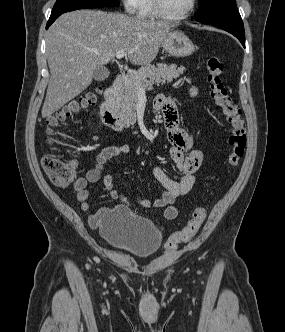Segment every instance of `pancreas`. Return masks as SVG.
Segmentation results:
<instances>
[{
	"label": "pancreas",
	"instance_id": "1",
	"mask_svg": "<svg viewBox=\"0 0 285 332\" xmlns=\"http://www.w3.org/2000/svg\"><path fill=\"white\" fill-rule=\"evenodd\" d=\"M185 71L184 67L175 64L167 65L158 63L141 67L135 73H129L124 78L122 92L117 105L121 117L126 124H134L136 121L135 103L138 98L139 88H146L156 83L171 82Z\"/></svg>",
	"mask_w": 285,
	"mask_h": 332
}]
</instances>
